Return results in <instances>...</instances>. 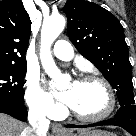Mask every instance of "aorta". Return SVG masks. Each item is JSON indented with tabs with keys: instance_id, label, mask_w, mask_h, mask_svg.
I'll use <instances>...</instances> for the list:
<instances>
[{
	"instance_id": "obj_1",
	"label": "aorta",
	"mask_w": 136,
	"mask_h": 136,
	"mask_svg": "<svg viewBox=\"0 0 136 136\" xmlns=\"http://www.w3.org/2000/svg\"><path fill=\"white\" fill-rule=\"evenodd\" d=\"M65 18L62 15L50 16L43 21L41 29L40 60L48 76L57 81L59 89H63L68 78L64 77L56 66L52 55L51 45L65 27Z\"/></svg>"
}]
</instances>
